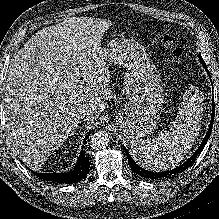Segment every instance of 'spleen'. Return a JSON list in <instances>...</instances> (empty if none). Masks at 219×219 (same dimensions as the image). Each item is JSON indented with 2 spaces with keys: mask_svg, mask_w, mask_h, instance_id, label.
Listing matches in <instances>:
<instances>
[{
  "mask_svg": "<svg viewBox=\"0 0 219 219\" xmlns=\"http://www.w3.org/2000/svg\"><path fill=\"white\" fill-rule=\"evenodd\" d=\"M202 109L197 90L190 88L184 95V102L169 131H162L149 141H131L134 159L143 168L153 171L177 166L192 148L199 134Z\"/></svg>",
  "mask_w": 219,
  "mask_h": 219,
  "instance_id": "obj_1",
  "label": "spleen"
}]
</instances>
